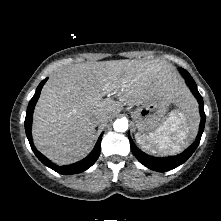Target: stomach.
Listing matches in <instances>:
<instances>
[{
  "label": "stomach",
  "mask_w": 221,
  "mask_h": 221,
  "mask_svg": "<svg viewBox=\"0 0 221 221\" xmlns=\"http://www.w3.org/2000/svg\"><path fill=\"white\" fill-rule=\"evenodd\" d=\"M171 104L167 96H155L139 106L133 113V121L140 135L157 133L167 119Z\"/></svg>",
  "instance_id": "0dacf381"
}]
</instances>
